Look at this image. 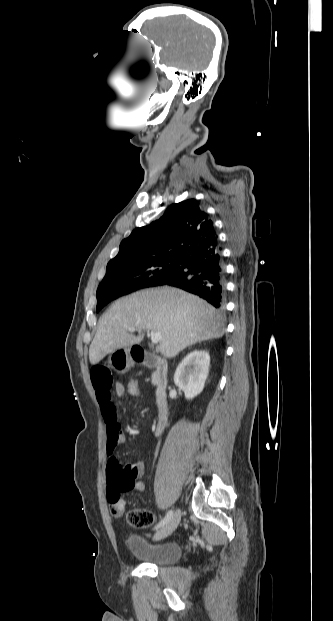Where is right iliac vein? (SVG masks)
Returning a JSON list of instances; mask_svg holds the SVG:
<instances>
[{
	"mask_svg": "<svg viewBox=\"0 0 333 621\" xmlns=\"http://www.w3.org/2000/svg\"><path fill=\"white\" fill-rule=\"evenodd\" d=\"M181 518L180 510H176L169 522H167L162 528H160L154 535L155 539H163L173 533L179 524Z\"/></svg>",
	"mask_w": 333,
	"mask_h": 621,
	"instance_id": "right-iliac-vein-1",
	"label": "right iliac vein"
}]
</instances>
